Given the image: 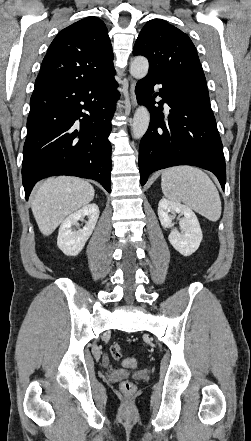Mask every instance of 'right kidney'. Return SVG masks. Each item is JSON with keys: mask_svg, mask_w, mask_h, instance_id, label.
Segmentation results:
<instances>
[{"mask_svg": "<svg viewBox=\"0 0 251 441\" xmlns=\"http://www.w3.org/2000/svg\"><path fill=\"white\" fill-rule=\"evenodd\" d=\"M85 216L88 217L86 225L79 230H74L78 221ZM99 218V208L96 204H88L80 210L70 214L61 224L58 232L57 245L67 256L78 255L85 243L91 236L97 220Z\"/></svg>", "mask_w": 251, "mask_h": 441, "instance_id": "1", "label": "right kidney"}]
</instances>
